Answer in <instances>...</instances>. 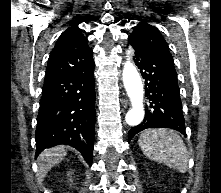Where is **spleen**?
<instances>
[{
    "mask_svg": "<svg viewBox=\"0 0 221 193\" xmlns=\"http://www.w3.org/2000/svg\"><path fill=\"white\" fill-rule=\"evenodd\" d=\"M143 154L150 160L165 164L185 173L188 168V151L182 138L173 130L147 129L138 139Z\"/></svg>",
    "mask_w": 221,
    "mask_h": 193,
    "instance_id": "obj_1",
    "label": "spleen"
}]
</instances>
